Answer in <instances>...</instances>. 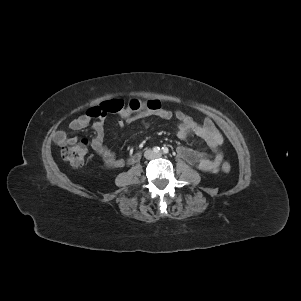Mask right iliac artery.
<instances>
[{
  "mask_svg": "<svg viewBox=\"0 0 301 301\" xmlns=\"http://www.w3.org/2000/svg\"><path fill=\"white\" fill-rule=\"evenodd\" d=\"M153 151H154L155 153H158V152H160V147H158V146H155V147L153 148Z\"/></svg>",
  "mask_w": 301,
  "mask_h": 301,
  "instance_id": "obj_1",
  "label": "right iliac artery"
}]
</instances>
